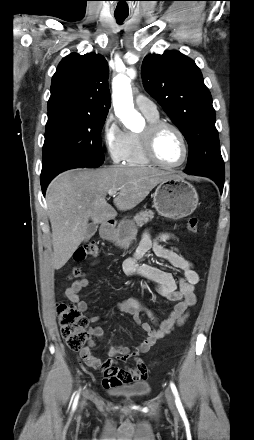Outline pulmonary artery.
<instances>
[{
  "label": "pulmonary artery",
  "instance_id": "1",
  "mask_svg": "<svg viewBox=\"0 0 254 440\" xmlns=\"http://www.w3.org/2000/svg\"><path fill=\"white\" fill-rule=\"evenodd\" d=\"M136 107L146 115H157L158 110L156 104L142 94L135 97Z\"/></svg>",
  "mask_w": 254,
  "mask_h": 440
}]
</instances>
